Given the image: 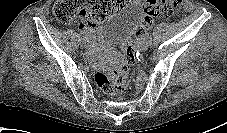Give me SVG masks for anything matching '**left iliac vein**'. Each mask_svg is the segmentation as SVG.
I'll list each match as a JSON object with an SVG mask.
<instances>
[{"mask_svg":"<svg viewBox=\"0 0 227 133\" xmlns=\"http://www.w3.org/2000/svg\"><path fill=\"white\" fill-rule=\"evenodd\" d=\"M151 44V37L150 36H144L142 42H141V50L147 51L149 46Z\"/></svg>","mask_w":227,"mask_h":133,"instance_id":"4c4485c4","label":"left iliac vein"}]
</instances>
